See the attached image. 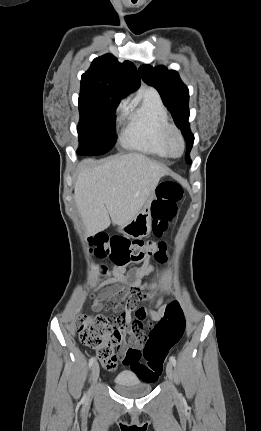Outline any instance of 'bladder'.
<instances>
[{
  "label": "bladder",
  "instance_id": "31cf9c89",
  "mask_svg": "<svg viewBox=\"0 0 261 431\" xmlns=\"http://www.w3.org/2000/svg\"><path fill=\"white\" fill-rule=\"evenodd\" d=\"M152 384L139 380L128 370L121 371L114 379V389L122 396L138 398L152 391Z\"/></svg>",
  "mask_w": 261,
  "mask_h": 431
}]
</instances>
